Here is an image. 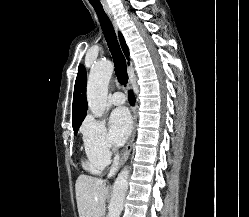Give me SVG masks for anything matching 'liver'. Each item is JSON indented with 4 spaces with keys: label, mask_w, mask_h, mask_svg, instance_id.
Segmentation results:
<instances>
[{
    "label": "liver",
    "mask_w": 249,
    "mask_h": 217,
    "mask_svg": "<svg viewBox=\"0 0 249 217\" xmlns=\"http://www.w3.org/2000/svg\"><path fill=\"white\" fill-rule=\"evenodd\" d=\"M79 217H102L108 187L104 180L88 175H80L75 184Z\"/></svg>",
    "instance_id": "1"
}]
</instances>
